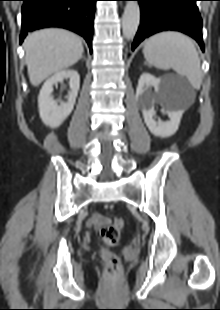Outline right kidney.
Instances as JSON below:
<instances>
[{"label": "right kidney", "mask_w": 220, "mask_h": 310, "mask_svg": "<svg viewBox=\"0 0 220 310\" xmlns=\"http://www.w3.org/2000/svg\"><path fill=\"white\" fill-rule=\"evenodd\" d=\"M64 79H69L70 91L68 92L67 102H61L58 105L52 96L53 85L62 82ZM79 86V74L73 69L56 72L46 80L38 97L39 115L46 126L57 128L70 115L75 105Z\"/></svg>", "instance_id": "1"}]
</instances>
